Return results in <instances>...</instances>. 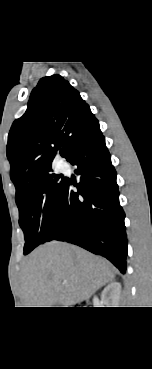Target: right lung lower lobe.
I'll return each instance as SVG.
<instances>
[{"label": "right lung lower lobe", "mask_w": 152, "mask_h": 369, "mask_svg": "<svg viewBox=\"0 0 152 369\" xmlns=\"http://www.w3.org/2000/svg\"><path fill=\"white\" fill-rule=\"evenodd\" d=\"M80 177L73 191L67 180L54 230L46 242L66 241L110 260L126 271L125 214L119 203L116 171L100 129L82 142L68 160Z\"/></svg>", "instance_id": "right-lung-lower-lobe-1"}]
</instances>
